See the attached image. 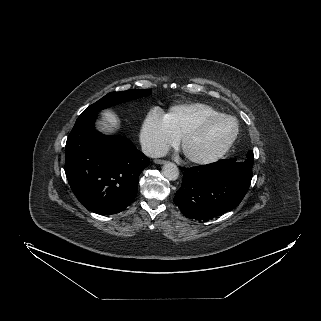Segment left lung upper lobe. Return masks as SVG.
Instances as JSON below:
<instances>
[{
  "instance_id": "left-lung-upper-lobe-1",
  "label": "left lung upper lobe",
  "mask_w": 321,
  "mask_h": 321,
  "mask_svg": "<svg viewBox=\"0 0 321 321\" xmlns=\"http://www.w3.org/2000/svg\"><path fill=\"white\" fill-rule=\"evenodd\" d=\"M250 156L254 157V156H253V152H252V151H249V152H248V154H247V158H248V157H250Z\"/></svg>"
}]
</instances>
